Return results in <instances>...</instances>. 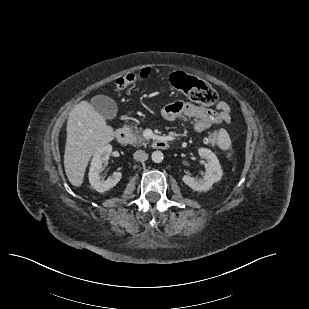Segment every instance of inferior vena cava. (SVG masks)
I'll list each match as a JSON object with an SVG mask.
<instances>
[{
  "label": "inferior vena cava",
  "instance_id": "inferior-vena-cava-1",
  "mask_svg": "<svg viewBox=\"0 0 309 309\" xmlns=\"http://www.w3.org/2000/svg\"><path fill=\"white\" fill-rule=\"evenodd\" d=\"M134 159L139 162H144L148 159V154L143 150H137L134 153Z\"/></svg>",
  "mask_w": 309,
  "mask_h": 309
}]
</instances>
